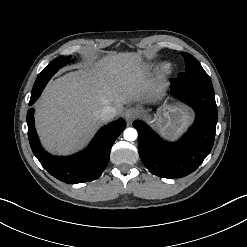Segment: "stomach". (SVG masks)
<instances>
[{"label": "stomach", "instance_id": "stomach-1", "mask_svg": "<svg viewBox=\"0 0 247 247\" xmlns=\"http://www.w3.org/2000/svg\"><path fill=\"white\" fill-rule=\"evenodd\" d=\"M191 122L189 113L181 107H164L163 111L151 121L162 135L169 139L180 137Z\"/></svg>", "mask_w": 247, "mask_h": 247}]
</instances>
